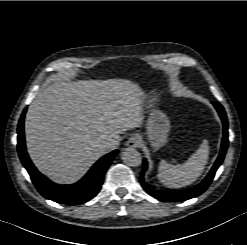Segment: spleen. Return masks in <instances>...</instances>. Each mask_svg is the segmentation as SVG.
Returning <instances> with one entry per match:
<instances>
[{"label": "spleen", "mask_w": 247, "mask_h": 245, "mask_svg": "<svg viewBox=\"0 0 247 245\" xmlns=\"http://www.w3.org/2000/svg\"><path fill=\"white\" fill-rule=\"evenodd\" d=\"M209 158L208 141L204 140L188 160L182 164L173 165L164 160L160 162L158 178L169 188L188 186L202 174Z\"/></svg>", "instance_id": "obj_1"}]
</instances>
